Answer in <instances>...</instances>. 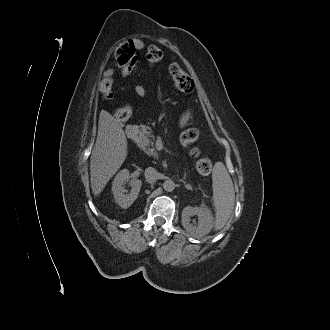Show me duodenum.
Returning <instances> with one entry per match:
<instances>
[{
	"mask_svg": "<svg viewBox=\"0 0 330 330\" xmlns=\"http://www.w3.org/2000/svg\"><path fill=\"white\" fill-rule=\"evenodd\" d=\"M126 136L128 139L132 140L134 139L135 135H136V127L135 126H127L126 130H125Z\"/></svg>",
	"mask_w": 330,
	"mask_h": 330,
	"instance_id": "1",
	"label": "duodenum"
}]
</instances>
